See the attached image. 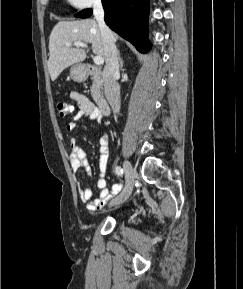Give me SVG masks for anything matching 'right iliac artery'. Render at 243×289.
I'll use <instances>...</instances> for the list:
<instances>
[{
    "label": "right iliac artery",
    "mask_w": 243,
    "mask_h": 289,
    "mask_svg": "<svg viewBox=\"0 0 243 289\" xmlns=\"http://www.w3.org/2000/svg\"><path fill=\"white\" fill-rule=\"evenodd\" d=\"M116 174L118 177H122L123 176V169L120 166H117L116 169Z\"/></svg>",
    "instance_id": "right-iliac-artery-1"
}]
</instances>
